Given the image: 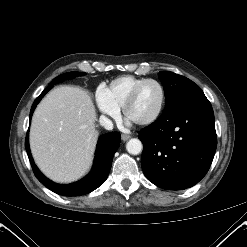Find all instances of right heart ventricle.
<instances>
[{"label": "right heart ventricle", "instance_id": "e07e8e85", "mask_svg": "<svg viewBox=\"0 0 247 247\" xmlns=\"http://www.w3.org/2000/svg\"><path fill=\"white\" fill-rule=\"evenodd\" d=\"M143 80L145 78L133 75H124L112 80L105 88L109 100L118 109L122 108L132 89Z\"/></svg>", "mask_w": 247, "mask_h": 247}]
</instances>
